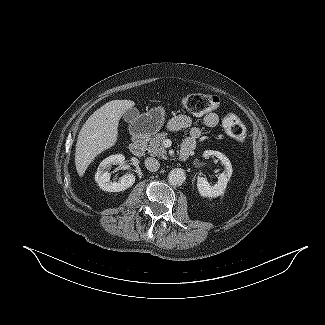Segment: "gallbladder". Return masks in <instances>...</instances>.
Masks as SVG:
<instances>
[{"mask_svg": "<svg viewBox=\"0 0 325 325\" xmlns=\"http://www.w3.org/2000/svg\"><path fill=\"white\" fill-rule=\"evenodd\" d=\"M139 116V111L138 109L136 108H130L128 109L124 115H123V119L126 121V122H130L132 123L137 117Z\"/></svg>", "mask_w": 325, "mask_h": 325, "instance_id": "1", "label": "gallbladder"}]
</instances>
